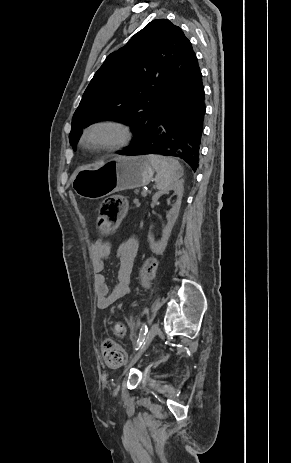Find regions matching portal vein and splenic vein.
Masks as SVG:
<instances>
[{"instance_id": "1", "label": "portal vein and splenic vein", "mask_w": 291, "mask_h": 463, "mask_svg": "<svg viewBox=\"0 0 291 463\" xmlns=\"http://www.w3.org/2000/svg\"><path fill=\"white\" fill-rule=\"evenodd\" d=\"M146 195H147V192H146L145 190H144V191H142V196H144V197H145Z\"/></svg>"}]
</instances>
